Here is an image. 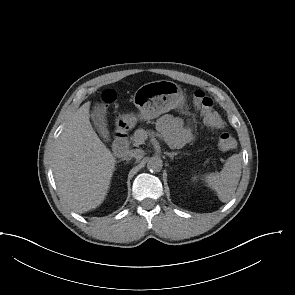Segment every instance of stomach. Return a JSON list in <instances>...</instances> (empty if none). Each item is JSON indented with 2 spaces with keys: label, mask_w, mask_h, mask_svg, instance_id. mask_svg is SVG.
I'll return each mask as SVG.
<instances>
[{
  "label": "stomach",
  "mask_w": 295,
  "mask_h": 295,
  "mask_svg": "<svg viewBox=\"0 0 295 295\" xmlns=\"http://www.w3.org/2000/svg\"><path fill=\"white\" fill-rule=\"evenodd\" d=\"M135 105L140 113L120 117L124 127L132 128L138 119L151 120L175 108H183L185 96L179 85L173 81L159 80L144 84L136 91Z\"/></svg>",
  "instance_id": "1"
}]
</instances>
